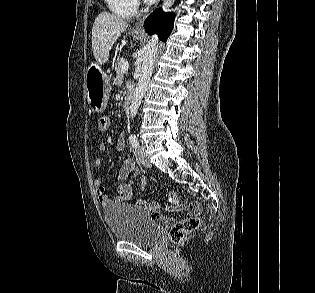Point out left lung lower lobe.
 Instances as JSON below:
<instances>
[{"mask_svg": "<svg viewBox=\"0 0 315 293\" xmlns=\"http://www.w3.org/2000/svg\"><path fill=\"white\" fill-rule=\"evenodd\" d=\"M172 14H166L161 9H156L144 22V28L149 34L157 33L159 38L166 41L173 27Z\"/></svg>", "mask_w": 315, "mask_h": 293, "instance_id": "left-lung-lower-lobe-1", "label": "left lung lower lobe"}]
</instances>
